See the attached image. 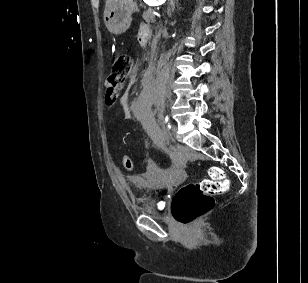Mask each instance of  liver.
<instances>
[{"instance_id": "6515ba94", "label": "liver", "mask_w": 308, "mask_h": 283, "mask_svg": "<svg viewBox=\"0 0 308 283\" xmlns=\"http://www.w3.org/2000/svg\"><path fill=\"white\" fill-rule=\"evenodd\" d=\"M117 1H118V0H106L105 9H106L107 7H109L111 4H113V3L117 2Z\"/></svg>"}]
</instances>
